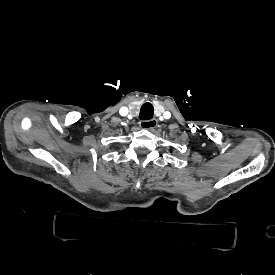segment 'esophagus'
I'll list each match as a JSON object with an SVG mask.
<instances>
[{"label": "esophagus", "mask_w": 275, "mask_h": 275, "mask_svg": "<svg viewBox=\"0 0 275 275\" xmlns=\"http://www.w3.org/2000/svg\"><path fill=\"white\" fill-rule=\"evenodd\" d=\"M158 125L156 119L144 120L140 122V127L143 129H153Z\"/></svg>", "instance_id": "obj_1"}]
</instances>
